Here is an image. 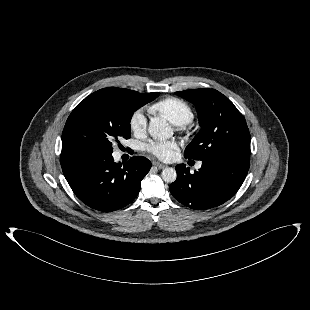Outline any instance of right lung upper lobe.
Here are the masks:
<instances>
[{
    "label": "right lung upper lobe",
    "mask_w": 310,
    "mask_h": 310,
    "mask_svg": "<svg viewBox=\"0 0 310 310\" xmlns=\"http://www.w3.org/2000/svg\"><path fill=\"white\" fill-rule=\"evenodd\" d=\"M106 89L114 91V92H117L119 94L127 95V96H130V97H135V98H144V97L148 96L149 94H151V93L142 94V93H138L136 91H132V90H128V89H123V88H115V87H109V88H106Z\"/></svg>",
    "instance_id": "cb5924a9"
}]
</instances>
